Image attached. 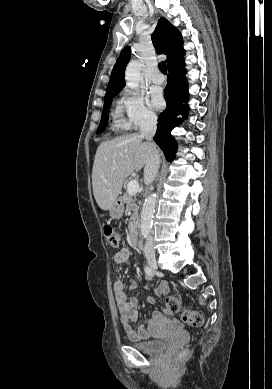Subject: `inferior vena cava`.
Masks as SVG:
<instances>
[{"label": "inferior vena cava", "mask_w": 272, "mask_h": 389, "mask_svg": "<svg viewBox=\"0 0 272 389\" xmlns=\"http://www.w3.org/2000/svg\"><path fill=\"white\" fill-rule=\"evenodd\" d=\"M157 129V117L150 115L147 116L140 127L141 136L145 137L148 142H152L153 136ZM160 164V156L157 149L154 147L150 153V156L145 164L144 168V181L146 184L152 183L155 179ZM145 253H154L155 247L153 237L149 236L146 239L144 246Z\"/></svg>", "instance_id": "1"}]
</instances>
